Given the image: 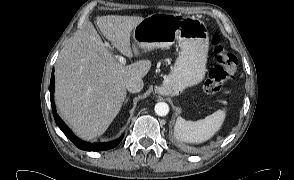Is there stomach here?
Returning <instances> with one entry per match:
<instances>
[{"label": "stomach", "mask_w": 294, "mask_h": 180, "mask_svg": "<svg viewBox=\"0 0 294 180\" xmlns=\"http://www.w3.org/2000/svg\"><path fill=\"white\" fill-rule=\"evenodd\" d=\"M133 39L143 50L166 48L178 43L181 52L164 80L163 93L178 95L204 78L209 34L200 19L180 14L154 13L136 25Z\"/></svg>", "instance_id": "stomach-1"}]
</instances>
